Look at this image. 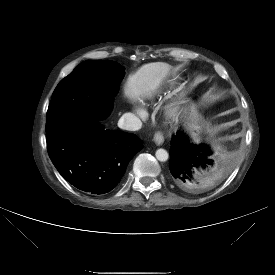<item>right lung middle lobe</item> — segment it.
Listing matches in <instances>:
<instances>
[{"label":"right lung middle lobe","instance_id":"obj_1","mask_svg":"<svg viewBox=\"0 0 275 275\" xmlns=\"http://www.w3.org/2000/svg\"><path fill=\"white\" fill-rule=\"evenodd\" d=\"M123 75V68L109 61H84L60 81L46 116V133L82 119L103 120L110 113L113 96L105 89Z\"/></svg>","mask_w":275,"mask_h":275}]
</instances>
